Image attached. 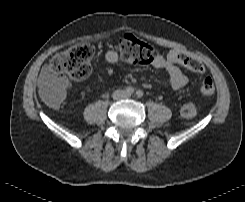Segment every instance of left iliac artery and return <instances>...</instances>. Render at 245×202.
Listing matches in <instances>:
<instances>
[{"instance_id": "left-iliac-artery-1", "label": "left iliac artery", "mask_w": 245, "mask_h": 202, "mask_svg": "<svg viewBox=\"0 0 245 202\" xmlns=\"http://www.w3.org/2000/svg\"><path fill=\"white\" fill-rule=\"evenodd\" d=\"M143 91L142 90H137L136 91V96L138 97V98H141V97H143Z\"/></svg>"}]
</instances>
